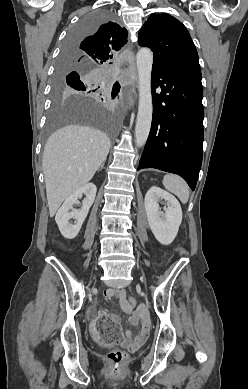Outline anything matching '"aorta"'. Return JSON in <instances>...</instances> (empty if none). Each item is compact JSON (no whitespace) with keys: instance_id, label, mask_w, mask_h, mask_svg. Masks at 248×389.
<instances>
[{"instance_id":"1","label":"aorta","mask_w":248,"mask_h":389,"mask_svg":"<svg viewBox=\"0 0 248 389\" xmlns=\"http://www.w3.org/2000/svg\"><path fill=\"white\" fill-rule=\"evenodd\" d=\"M153 53L148 48H141L137 53L139 103L135 126V143L142 147L148 138L152 122L151 70Z\"/></svg>"}]
</instances>
